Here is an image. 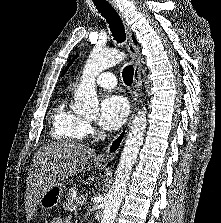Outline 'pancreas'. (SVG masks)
<instances>
[{"label": "pancreas", "mask_w": 221, "mask_h": 223, "mask_svg": "<svg viewBox=\"0 0 221 223\" xmlns=\"http://www.w3.org/2000/svg\"><path fill=\"white\" fill-rule=\"evenodd\" d=\"M75 187L71 188L66 196V202L63 204V208L68 211H74L76 209L77 198L73 197V193L75 191Z\"/></svg>", "instance_id": "obj_1"}]
</instances>
